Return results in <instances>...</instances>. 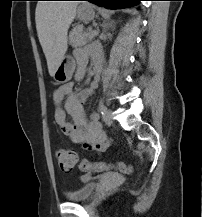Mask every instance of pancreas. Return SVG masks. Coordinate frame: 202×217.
I'll return each mask as SVG.
<instances>
[{
	"label": "pancreas",
	"mask_w": 202,
	"mask_h": 217,
	"mask_svg": "<svg viewBox=\"0 0 202 217\" xmlns=\"http://www.w3.org/2000/svg\"><path fill=\"white\" fill-rule=\"evenodd\" d=\"M94 38L93 34L83 32L81 26H76L69 34V43L73 47L83 46Z\"/></svg>",
	"instance_id": "obj_1"
}]
</instances>
